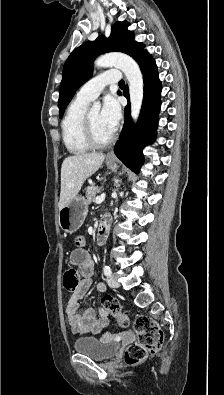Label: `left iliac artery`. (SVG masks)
Listing matches in <instances>:
<instances>
[{"label":"left iliac artery","mask_w":224,"mask_h":395,"mask_svg":"<svg viewBox=\"0 0 224 395\" xmlns=\"http://www.w3.org/2000/svg\"><path fill=\"white\" fill-rule=\"evenodd\" d=\"M103 271H104V274L106 276H110L111 275V269H110V267L108 265L104 266Z\"/></svg>","instance_id":"left-iliac-artery-1"}]
</instances>
